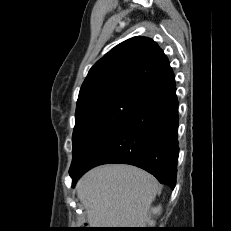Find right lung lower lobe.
<instances>
[{
  "label": "right lung lower lobe",
  "instance_id": "obj_1",
  "mask_svg": "<svg viewBox=\"0 0 231 231\" xmlns=\"http://www.w3.org/2000/svg\"><path fill=\"white\" fill-rule=\"evenodd\" d=\"M178 101L176 90L146 100L141 108L109 134L76 169L69 170L75 184L89 169L125 163L154 175L160 183L176 184L178 160Z\"/></svg>",
  "mask_w": 231,
  "mask_h": 231
}]
</instances>
